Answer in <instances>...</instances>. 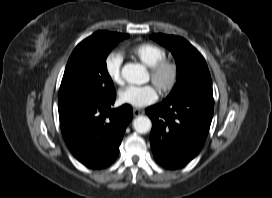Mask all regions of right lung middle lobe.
I'll list each match as a JSON object with an SVG mask.
<instances>
[{
	"mask_svg": "<svg viewBox=\"0 0 272 198\" xmlns=\"http://www.w3.org/2000/svg\"><path fill=\"white\" fill-rule=\"evenodd\" d=\"M128 34L96 37L72 52L59 90V107L88 101H105L116 95L106 67L110 51Z\"/></svg>",
	"mask_w": 272,
	"mask_h": 198,
	"instance_id": "1",
	"label": "right lung middle lobe"
}]
</instances>
